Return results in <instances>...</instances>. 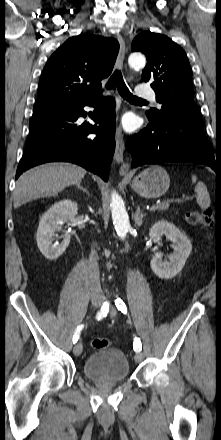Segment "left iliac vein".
<instances>
[{
  "label": "left iliac vein",
  "instance_id": "1",
  "mask_svg": "<svg viewBox=\"0 0 221 440\" xmlns=\"http://www.w3.org/2000/svg\"><path fill=\"white\" fill-rule=\"evenodd\" d=\"M110 314H111V316H115L116 311H115L114 308L111 309ZM142 359H143V354H142L141 352H137V353L135 354V361H136L137 363H139V362L142 361Z\"/></svg>",
  "mask_w": 221,
  "mask_h": 440
}]
</instances>
